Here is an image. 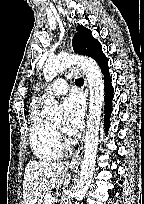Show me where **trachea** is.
<instances>
[{"label": "trachea", "instance_id": "1", "mask_svg": "<svg viewBox=\"0 0 144 204\" xmlns=\"http://www.w3.org/2000/svg\"><path fill=\"white\" fill-rule=\"evenodd\" d=\"M75 83H76V84H81V83H83L82 78H78V79H76V80H75Z\"/></svg>", "mask_w": 144, "mask_h": 204}]
</instances>
